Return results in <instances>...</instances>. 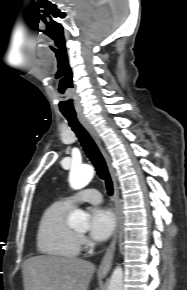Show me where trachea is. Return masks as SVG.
I'll use <instances>...</instances> for the list:
<instances>
[{"mask_svg":"<svg viewBox=\"0 0 187 290\" xmlns=\"http://www.w3.org/2000/svg\"><path fill=\"white\" fill-rule=\"evenodd\" d=\"M63 115L78 137L85 154L94 165L98 176L105 181L107 194L111 196L113 194V182L111 180L106 162L97 145L85 128L80 124L75 113H63Z\"/></svg>","mask_w":187,"mask_h":290,"instance_id":"3493384b","label":"trachea"}]
</instances>
